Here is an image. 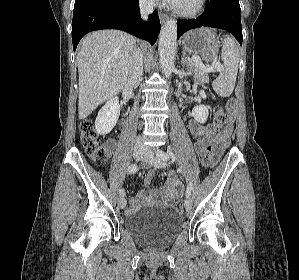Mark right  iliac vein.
Masks as SVG:
<instances>
[{
  "mask_svg": "<svg viewBox=\"0 0 299 280\" xmlns=\"http://www.w3.org/2000/svg\"><path fill=\"white\" fill-rule=\"evenodd\" d=\"M145 155V150L141 147H136L134 148V151H133V157L135 160H141ZM118 205L120 208H125L126 206V199L124 198V196H121L119 199H118Z\"/></svg>",
  "mask_w": 299,
  "mask_h": 280,
  "instance_id": "right-iliac-vein-1",
  "label": "right iliac vein"
}]
</instances>
